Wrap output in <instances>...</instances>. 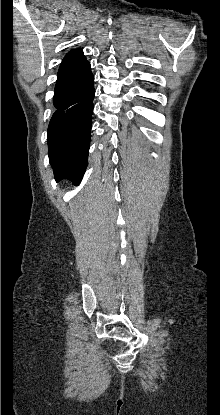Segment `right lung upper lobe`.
Returning <instances> with one entry per match:
<instances>
[{
    "label": "right lung upper lobe",
    "mask_w": 220,
    "mask_h": 415,
    "mask_svg": "<svg viewBox=\"0 0 220 415\" xmlns=\"http://www.w3.org/2000/svg\"><path fill=\"white\" fill-rule=\"evenodd\" d=\"M84 60H86L83 52L81 49H74L72 51H70L69 53L66 54V56L64 57L59 71L65 70L67 68H70L72 66H75L81 62H83Z\"/></svg>",
    "instance_id": "cb5924a9"
}]
</instances>
